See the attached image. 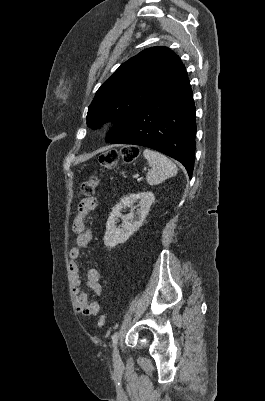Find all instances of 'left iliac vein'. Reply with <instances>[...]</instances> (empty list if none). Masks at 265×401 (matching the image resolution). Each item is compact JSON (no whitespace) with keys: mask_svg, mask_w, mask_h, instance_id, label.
Returning a JSON list of instances; mask_svg holds the SVG:
<instances>
[{"mask_svg":"<svg viewBox=\"0 0 265 401\" xmlns=\"http://www.w3.org/2000/svg\"><path fill=\"white\" fill-rule=\"evenodd\" d=\"M113 361L115 366H118L120 363V353L117 346L113 350Z\"/></svg>","mask_w":265,"mask_h":401,"instance_id":"obj_1","label":"left iliac vein"}]
</instances>
